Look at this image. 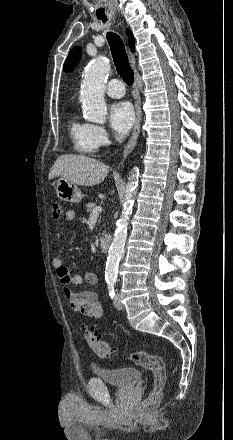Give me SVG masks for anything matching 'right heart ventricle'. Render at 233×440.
<instances>
[{
    "label": "right heart ventricle",
    "instance_id": "1",
    "mask_svg": "<svg viewBox=\"0 0 233 440\" xmlns=\"http://www.w3.org/2000/svg\"><path fill=\"white\" fill-rule=\"evenodd\" d=\"M68 131L76 151L85 155H93L97 151L92 138V124L81 120L74 113L71 116Z\"/></svg>",
    "mask_w": 233,
    "mask_h": 440
}]
</instances>
